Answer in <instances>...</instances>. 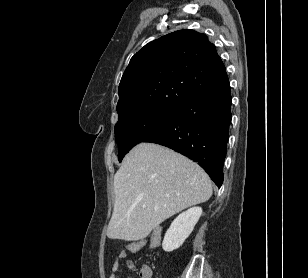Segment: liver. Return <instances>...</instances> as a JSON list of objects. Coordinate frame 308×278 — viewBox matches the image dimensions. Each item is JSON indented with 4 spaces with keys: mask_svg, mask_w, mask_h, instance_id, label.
<instances>
[{
    "mask_svg": "<svg viewBox=\"0 0 308 278\" xmlns=\"http://www.w3.org/2000/svg\"><path fill=\"white\" fill-rule=\"evenodd\" d=\"M110 239L137 241L180 211L210 199L207 173L185 156L158 144L140 143L114 176Z\"/></svg>",
    "mask_w": 308,
    "mask_h": 278,
    "instance_id": "obj_1",
    "label": "liver"
}]
</instances>
